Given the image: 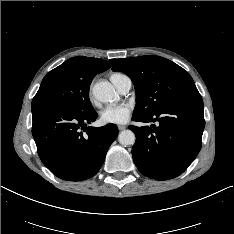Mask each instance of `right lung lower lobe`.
I'll return each mask as SVG.
<instances>
[{
	"label": "right lung lower lobe",
	"mask_w": 234,
	"mask_h": 234,
	"mask_svg": "<svg viewBox=\"0 0 234 234\" xmlns=\"http://www.w3.org/2000/svg\"><path fill=\"white\" fill-rule=\"evenodd\" d=\"M32 116V134L38 155L43 164L63 180L81 181L94 176L118 135L114 124L87 127L98 116L94 109L74 112L43 105L32 108Z\"/></svg>",
	"instance_id": "right-lung-lower-lobe-1"
}]
</instances>
